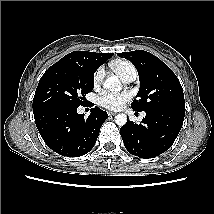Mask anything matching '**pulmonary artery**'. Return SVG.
Listing matches in <instances>:
<instances>
[{
	"instance_id": "e3ab8cb5",
	"label": "pulmonary artery",
	"mask_w": 214,
	"mask_h": 214,
	"mask_svg": "<svg viewBox=\"0 0 214 214\" xmlns=\"http://www.w3.org/2000/svg\"><path fill=\"white\" fill-rule=\"evenodd\" d=\"M136 77H137V71L134 67H131L130 69L124 72L121 78L125 83H130L134 81Z\"/></svg>"
}]
</instances>
